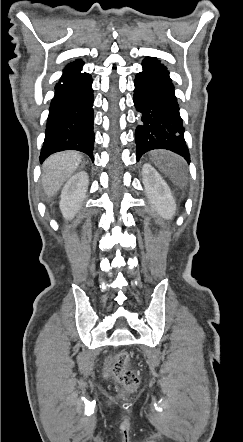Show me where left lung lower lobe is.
<instances>
[{
  "mask_svg": "<svg viewBox=\"0 0 243 442\" xmlns=\"http://www.w3.org/2000/svg\"><path fill=\"white\" fill-rule=\"evenodd\" d=\"M135 78L134 104L141 116L135 132L136 158L153 149H167L190 162L179 105L169 72L157 58H145Z\"/></svg>",
  "mask_w": 243,
  "mask_h": 442,
  "instance_id": "1",
  "label": "left lung lower lobe"
}]
</instances>
